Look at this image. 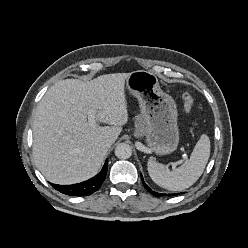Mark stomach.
<instances>
[{
  "label": "stomach",
  "instance_id": "obj_1",
  "mask_svg": "<svg viewBox=\"0 0 248 248\" xmlns=\"http://www.w3.org/2000/svg\"><path fill=\"white\" fill-rule=\"evenodd\" d=\"M126 87L139 101L148 146L157 155L174 152L179 143L174 99L161 90L156 75L149 71L131 72Z\"/></svg>",
  "mask_w": 248,
  "mask_h": 248
}]
</instances>
